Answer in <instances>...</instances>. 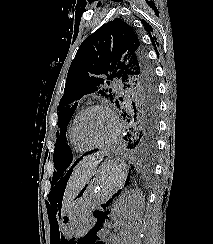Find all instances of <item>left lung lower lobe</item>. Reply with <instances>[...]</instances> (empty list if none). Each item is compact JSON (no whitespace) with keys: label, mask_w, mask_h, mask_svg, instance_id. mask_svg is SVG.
<instances>
[{"label":"left lung lower lobe","mask_w":213,"mask_h":244,"mask_svg":"<svg viewBox=\"0 0 213 244\" xmlns=\"http://www.w3.org/2000/svg\"><path fill=\"white\" fill-rule=\"evenodd\" d=\"M129 123V127L124 140L126 147L132 150L136 155L150 157L156 150L157 119L135 118L128 112H123ZM77 160L74 165L78 162Z\"/></svg>","instance_id":"0a47b994"}]
</instances>
